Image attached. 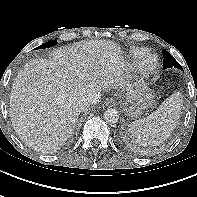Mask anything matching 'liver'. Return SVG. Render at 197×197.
Here are the masks:
<instances>
[{"instance_id":"liver-1","label":"liver","mask_w":197,"mask_h":197,"mask_svg":"<svg viewBox=\"0 0 197 197\" xmlns=\"http://www.w3.org/2000/svg\"><path fill=\"white\" fill-rule=\"evenodd\" d=\"M120 47L109 40H87L60 47L51 59H33L14 79L9 116L28 147L55 152L71 136L81 100L91 92L125 87ZM127 85L128 95L134 93Z\"/></svg>"}]
</instances>
